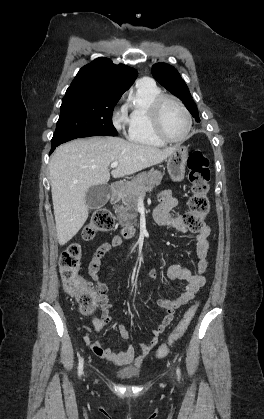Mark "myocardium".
<instances>
[{
  "instance_id": "1",
  "label": "myocardium",
  "mask_w": 264,
  "mask_h": 419,
  "mask_svg": "<svg viewBox=\"0 0 264 419\" xmlns=\"http://www.w3.org/2000/svg\"><path fill=\"white\" fill-rule=\"evenodd\" d=\"M166 101L174 102L182 110L186 117V130L183 136L179 138L169 137L163 130L161 114L163 105ZM151 122L155 135L164 143H179L185 141L189 136L192 128V117L189 110L180 99L171 94L161 93L154 99L151 105Z\"/></svg>"
}]
</instances>
